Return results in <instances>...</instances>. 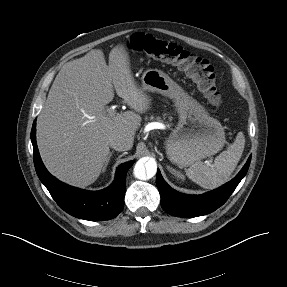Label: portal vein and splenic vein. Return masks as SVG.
I'll use <instances>...</instances> for the list:
<instances>
[{
	"label": "portal vein and splenic vein",
	"instance_id": "obj_1",
	"mask_svg": "<svg viewBox=\"0 0 287 287\" xmlns=\"http://www.w3.org/2000/svg\"><path fill=\"white\" fill-rule=\"evenodd\" d=\"M108 112L110 116H114L116 114V111L114 109H109Z\"/></svg>",
	"mask_w": 287,
	"mask_h": 287
}]
</instances>
